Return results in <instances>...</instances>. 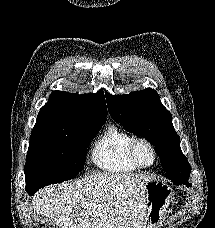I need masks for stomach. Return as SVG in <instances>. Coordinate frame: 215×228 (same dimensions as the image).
I'll use <instances>...</instances> for the list:
<instances>
[{
    "mask_svg": "<svg viewBox=\"0 0 215 228\" xmlns=\"http://www.w3.org/2000/svg\"><path fill=\"white\" fill-rule=\"evenodd\" d=\"M143 190L147 228H161L163 218L173 200V190L162 180H151L145 184Z\"/></svg>",
    "mask_w": 215,
    "mask_h": 228,
    "instance_id": "stomach-1",
    "label": "stomach"
}]
</instances>
